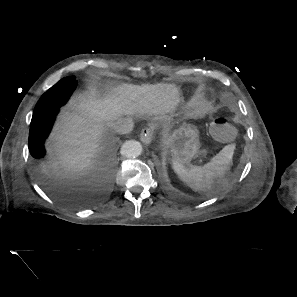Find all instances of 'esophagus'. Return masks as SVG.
<instances>
[{
    "mask_svg": "<svg viewBox=\"0 0 297 297\" xmlns=\"http://www.w3.org/2000/svg\"><path fill=\"white\" fill-rule=\"evenodd\" d=\"M153 134H154V130L153 128L150 127H145L142 129L141 133H140V140L148 145L151 143L152 138H153Z\"/></svg>",
    "mask_w": 297,
    "mask_h": 297,
    "instance_id": "1",
    "label": "esophagus"
}]
</instances>
